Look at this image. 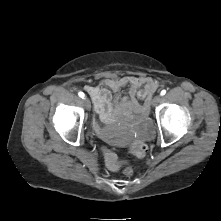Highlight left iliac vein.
I'll return each mask as SVG.
<instances>
[{
	"label": "left iliac vein",
	"instance_id": "left-iliac-vein-1",
	"mask_svg": "<svg viewBox=\"0 0 221 221\" xmlns=\"http://www.w3.org/2000/svg\"><path fill=\"white\" fill-rule=\"evenodd\" d=\"M160 99H161L160 95L155 96L152 100V105H157L160 102ZM147 109H148V106H147Z\"/></svg>",
	"mask_w": 221,
	"mask_h": 221
}]
</instances>
